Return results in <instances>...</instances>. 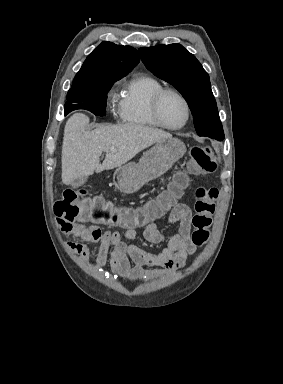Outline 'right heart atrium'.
<instances>
[{"label": "right heart atrium", "instance_id": "obj_1", "mask_svg": "<svg viewBox=\"0 0 283 384\" xmlns=\"http://www.w3.org/2000/svg\"><path fill=\"white\" fill-rule=\"evenodd\" d=\"M116 91H117V86L114 84V85L109 89V94H110L111 96H113V95H115Z\"/></svg>", "mask_w": 283, "mask_h": 384}]
</instances>
